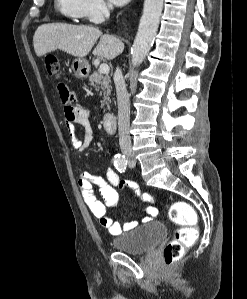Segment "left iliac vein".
Returning <instances> with one entry per match:
<instances>
[{
	"instance_id": "obj_1",
	"label": "left iliac vein",
	"mask_w": 247,
	"mask_h": 299,
	"mask_svg": "<svg viewBox=\"0 0 247 299\" xmlns=\"http://www.w3.org/2000/svg\"><path fill=\"white\" fill-rule=\"evenodd\" d=\"M129 166L132 168L135 166V163H129Z\"/></svg>"
}]
</instances>
